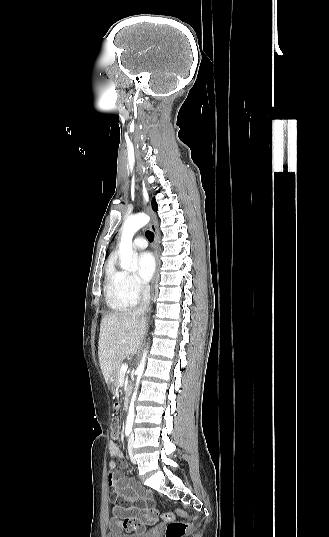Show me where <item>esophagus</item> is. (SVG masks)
<instances>
[{
  "mask_svg": "<svg viewBox=\"0 0 329 537\" xmlns=\"http://www.w3.org/2000/svg\"><path fill=\"white\" fill-rule=\"evenodd\" d=\"M147 212L148 214L150 215L151 217V222H150V229L152 230V232L154 233V255H155V261H156V269H155V273H154V276H153V279H152V283H151V294L153 296V293H154V286H155V283H156V280H157V276H158V265H159V255H158V245H159V234H158V230H157V225H156V220H155V213L154 211L152 210L151 206H147Z\"/></svg>",
  "mask_w": 329,
  "mask_h": 537,
  "instance_id": "esophagus-1",
  "label": "esophagus"
}]
</instances>
